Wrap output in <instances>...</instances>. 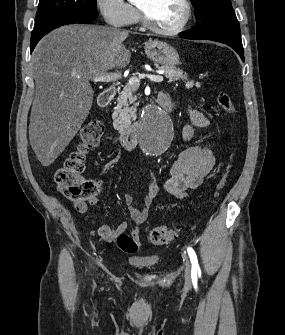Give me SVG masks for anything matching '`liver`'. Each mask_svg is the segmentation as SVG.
Instances as JSON below:
<instances>
[{
  "mask_svg": "<svg viewBox=\"0 0 285 335\" xmlns=\"http://www.w3.org/2000/svg\"><path fill=\"white\" fill-rule=\"evenodd\" d=\"M126 38L117 28L71 24L53 30L36 46L29 140L42 166L55 162L85 122L94 98L89 80L129 64Z\"/></svg>",
  "mask_w": 285,
  "mask_h": 335,
  "instance_id": "1",
  "label": "liver"
}]
</instances>
